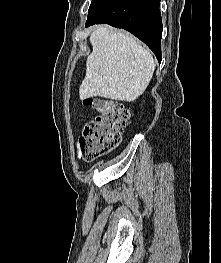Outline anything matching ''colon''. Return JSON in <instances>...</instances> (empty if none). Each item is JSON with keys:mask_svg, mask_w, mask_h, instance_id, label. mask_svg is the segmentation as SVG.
Masks as SVG:
<instances>
[{"mask_svg": "<svg viewBox=\"0 0 221 263\" xmlns=\"http://www.w3.org/2000/svg\"><path fill=\"white\" fill-rule=\"evenodd\" d=\"M83 104L99 113L86 124L81 143L83 156L96 159L119 143L121 132L128 124L130 112L123 104L105 98L87 97Z\"/></svg>", "mask_w": 221, "mask_h": 263, "instance_id": "5ec220e1", "label": "colon"}]
</instances>
